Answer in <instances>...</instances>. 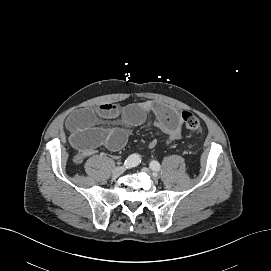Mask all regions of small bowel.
Listing matches in <instances>:
<instances>
[{
  "instance_id": "c3829d8e",
  "label": "small bowel",
  "mask_w": 271,
  "mask_h": 271,
  "mask_svg": "<svg viewBox=\"0 0 271 271\" xmlns=\"http://www.w3.org/2000/svg\"><path fill=\"white\" fill-rule=\"evenodd\" d=\"M149 113L155 115L157 125L164 131L171 135L178 133L182 123L181 115L170 107L152 102L124 108L104 104L97 109H80L68 117L66 126L72 145L84 155L94 153L100 146L117 151L126 144L129 130L122 127L102 128L97 124L105 119H114L128 127L138 126L145 121ZM151 146H154V143Z\"/></svg>"
}]
</instances>
